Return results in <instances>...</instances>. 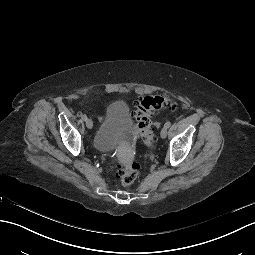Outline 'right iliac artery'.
I'll list each match as a JSON object with an SVG mask.
<instances>
[{
    "label": "right iliac artery",
    "mask_w": 255,
    "mask_h": 255,
    "mask_svg": "<svg viewBox=\"0 0 255 255\" xmlns=\"http://www.w3.org/2000/svg\"><path fill=\"white\" fill-rule=\"evenodd\" d=\"M82 119H83L84 121H86V120H87V116H86V115H82Z\"/></svg>",
    "instance_id": "right-iliac-artery-1"
}]
</instances>
